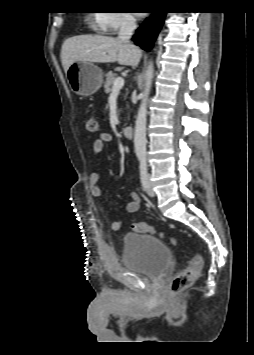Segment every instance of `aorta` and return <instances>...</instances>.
Here are the masks:
<instances>
[{
  "label": "aorta",
  "mask_w": 254,
  "mask_h": 355,
  "mask_svg": "<svg viewBox=\"0 0 254 355\" xmlns=\"http://www.w3.org/2000/svg\"><path fill=\"white\" fill-rule=\"evenodd\" d=\"M154 76L153 62L150 61L145 73V86L141 94V104L138 110L135 132H134V148L138 158L146 156V122H147V103L151 90L152 79Z\"/></svg>",
  "instance_id": "obj_1"
}]
</instances>
